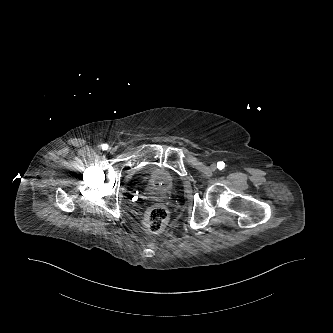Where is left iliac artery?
I'll use <instances>...</instances> for the list:
<instances>
[{"label": "left iliac artery", "mask_w": 333, "mask_h": 333, "mask_svg": "<svg viewBox=\"0 0 333 333\" xmlns=\"http://www.w3.org/2000/svg\"><path fill=\"white\" fill-rule=\"evenodd\" d=\"M224 167H225V163H224L223 161H219V162L217 163V168H218V169L222 170Z\"/></svg>", "instance_id": "44dca946"}]
</instances>
